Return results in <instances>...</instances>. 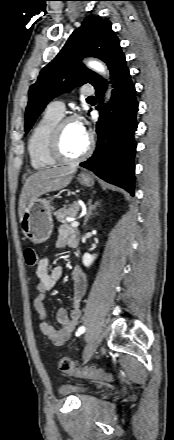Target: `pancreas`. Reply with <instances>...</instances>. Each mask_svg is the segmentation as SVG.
<instances>
[{
	"label": "pancreas",
	"mask_w": 174,
	"mask_h": 440,
	"mask_svg": "<svg viewBox=\"0 0 174 440\" xmlns=\"http://www.w3.org/2000/svg\"><path fill=\"white\" fill-rule=\"evenodd\" d=\"M79 211V205L74 203L69 207H63L55 212V216L60 223L68 224L67 217H76Z\"/></svg>",
	"instance_id": "1"
}]
</instances>
